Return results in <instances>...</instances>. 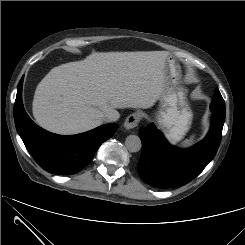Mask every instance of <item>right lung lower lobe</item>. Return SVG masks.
Segmentation results:
<instances>
[{
	"instance_id": "98d812e1",
	"label": "right lung lower lobe",
	"mask_w": 245,
	"mask_h": 245,
	"mask_svg": "<svg viewBox=\"0 0 245 245\" xmlns=\"http://www.w3.org/2000/svg\"><path fill=\"white\" fill-rule=\"evenodd\" d=\"M23 78L17 88L14 120L18 134L36 162L46 171L69 175L90 163L96 150L109 139L117 124H106L85 133L64 136L48 132L27 115L22 103Z\"/></svg>"
}]
</instances>
